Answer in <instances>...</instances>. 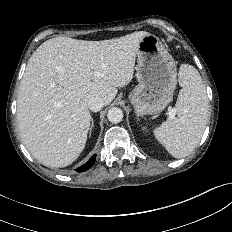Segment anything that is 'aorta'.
Returning a JSON list of instances; mask_svg holds the SVG:
<instances>
[{"label": "aorta", "mask_w": 232, "mask_h": 232, "mask_svg": "<svg viewBox=\"0 0 232 232\" xmlns=\"http://www.w3.org/2000/svg\"><path fill=\"white\" fill-rule=\"evenodd\" d=\"M107 118L111 123H119L123 119V111L118 107L111 108L107 113Z\"/></svg>", "instance_id": "762f6f07"}]
</instances>
